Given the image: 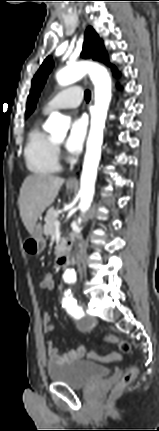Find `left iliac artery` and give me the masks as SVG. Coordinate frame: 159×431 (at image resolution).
<instances>
[{"label":"left iliac artery","instance_id":"1","mask_svg":"<svg viewBox=\"0 0 159 431\" xmlns=\"http://www.w3.org/2000/svg\"><path fill=\"white\" fill-rule=\"evenodd\" d=\"M75 280H72L74 282ZM62 300V306L66 311L76 318H80L84 315L83 310L77 305L76 299L73 297L70 290L66 291Z\"/></svg>","mask_w":159,"mask_h":431}]
</instances>
